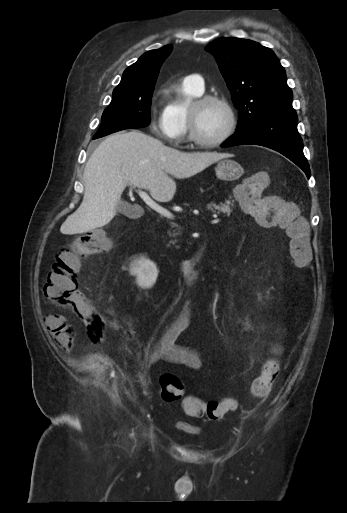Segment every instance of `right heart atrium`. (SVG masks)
Instances as JSON below:
<instances>
[{
    "instance_id": "d8ad5b80",
    "label": "right heart atrium",
    "mask_w": 347,
    "mask_h": 513,
    "mask_svg": "<svg viewBox=\"0 0 347 513\" xmlns=\"http://www.w3.org/2000/svg\"><path fill=\"white\" fill-rule=\"evenodd\" d=\"M153 132L164 140L176 144L179 134L176 132L164 111L153 116L151 120Z\"/></svg>"
}]
</instances>
